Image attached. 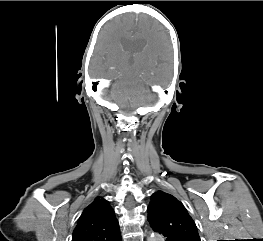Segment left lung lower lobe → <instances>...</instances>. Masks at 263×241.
I'll list each match as a JSON object with an SVG mask.
<instances>
[{
  "label": "left lung lower lobe",
  "mask_w": 263,
  "mask_h": 241,
  "mask_svg": "<svg viewBox=\"0 0 263 241\" xmlns=\"http://www.w3.org/2000/svg\"><path fill=\"white\" fill-rule=\"evenodd\" d=\"M152 229L160 234H162L165 237V241H181L178 237L164 231L163 229L151 225Z\"/></svg>",
  "instance_id": "0a47b994"
}]
</instances>
